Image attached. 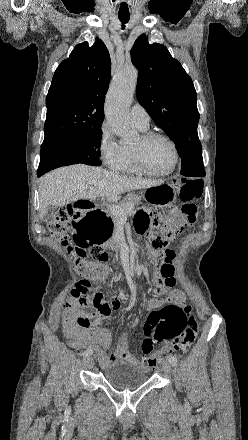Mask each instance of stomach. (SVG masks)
<instances>
[{
  "label": "stomach",
  "instance_id": "stomach-1",
  "mask_svg": "<svg viewBox=\"0 0 248 440\" xmlns=\"http://www.w3.org/2000/svg\"><path fill=\"white\" fill-rule=\"evenodd\" d=\"M145 201L158 208L171 205L176 199L175 187L160 183L145 189ZM111 209H83V218H73L71 230L74 241H86L87 246H116V218H111Z\"/></svg>",
  "mask_w": 248,
  "mask_h": 440
}]
</instances>
